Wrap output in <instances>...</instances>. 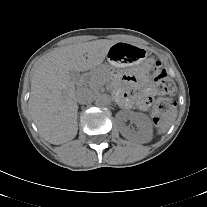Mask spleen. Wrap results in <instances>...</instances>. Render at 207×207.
<instances>
[{
	"label": "spleen",
	"instance_id": "3e777b00",
	"mask_svg": "<svg viewBox=\"0 0 207 207\" xmlns=\"http://www.w3.org/2000/svg\"><path fill=\"white\" fill-rule=\"evenodd\" d=\"M177 118V110L175 107L170 108L169 110H166L161 118V121L157 125V133L163 134L165 133L173 124V122Z\"/></svg>",
	"mask_w": 207,
	"mask_h": 207
}]
</instances>
